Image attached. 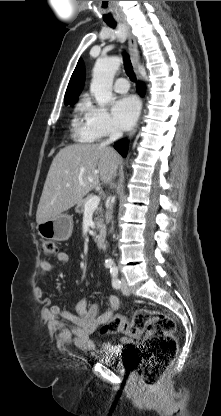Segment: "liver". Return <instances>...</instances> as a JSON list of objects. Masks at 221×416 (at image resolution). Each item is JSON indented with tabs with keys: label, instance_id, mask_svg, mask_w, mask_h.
Listing matches in <instances>:
<instances>
[{
	"label": "liver",
	"instance_id": "6515ba94",
	"mask_svg": "<svg viewBox=\"0 0 221 416\" xmlns=\"http://www.w3.org/2000/svg\"><path fill=\"white\" fill-rule=\"evenodd\" d=\"M120 161L117 152L101 144H72L61 149L47 174L37 208V224L73 207L100 181L110 184Z\"/></svg>",
	"mask_w": 221,
	"mask_h": 416
}]
</instances>
